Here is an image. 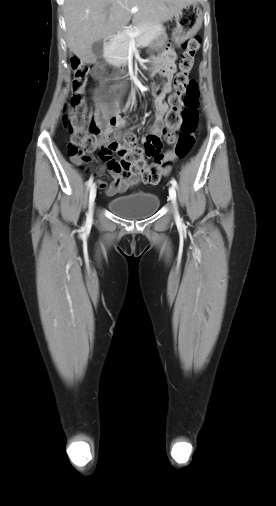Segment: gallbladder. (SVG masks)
I'll use <instances>...</instances> for the list:
<instances>
[{"instance_id": "bac80fb5", "label": "gallbladder", "mask_w": 276, "mask_h": 506, "mask_svg": "<svg viewBox=\"0 0 276 506\" xmlns=\"http://www.w3.org/2000/svg\"><path fill=\"white\" fill-rule=\"evenodd\" d=\"M92 52L96 56V58L103 57V41L99 40L92 44Z\"/></svg>"}]
</instances>
